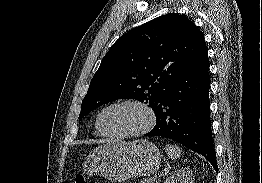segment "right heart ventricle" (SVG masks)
Returning <instances> with one entry per match:
<instances>
[{"label":"right heart ventricle","mask_w":262,"mask_h":183,"mask_svg":"<svg viewBox=\"0 0 262 183\" xmlns=\"http://www.w3.org/2000/svg\"><path fill=\"white\" fill-rule=\"evenodd\" d=\"M95 135L98 137H102L103 135L100 133V131L98 130L97 126H95Z\"/></svg>","instance_id":"e07e8e85"}]
</instances>
